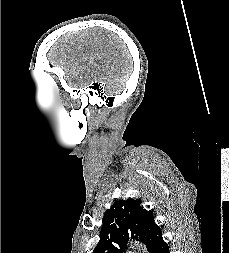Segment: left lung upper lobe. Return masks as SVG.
<instances>
[{"mask_svg":"<svg viewBox=\"0 0 229 253\" xmlns=\"http://www.w3.org/2000/svg\"><path fill=\"white\" fill-rule=\"evenodd\" d=\"M129 238L142 241L152 253L162 240L154 215L141 205V200L116 201L103 218L100 240L93 253H123Z\"/></svg>","mask_w":229,"mask_h":253,"instance_id":"1","label":"left lung upper lobe"}]
</instances>
